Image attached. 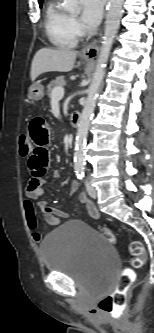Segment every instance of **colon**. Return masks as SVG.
<instances>
[{"mask_svg": "<svg viewBox=\"0 0 154 333\" xmlns=\"http://www.w3.org/2000/svg\"><path fill=\"white\" fill-rule=\"evenodd\" d=\"M31 150V142L28 135L21 134L19 137L20 155L26 157L30 155ZM98 231L110 242H114V234L108 225H99ZM129 249L133 256L131 261L132 266L135 268L142 267L146 262V255L143 244L139 241H133L131 242ZM133 279L134 272L131 269L124 270L122 275L118 279L115 290L99 300V309L106 314L120 316L125 308L126 295L129 287L131 286V283L133 282Z\"/></svg>", "mask_w": 154, "mask_h": 333, "instance_id": "obj_1", "label": "colon"}]
</instances>
